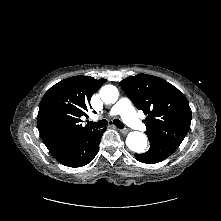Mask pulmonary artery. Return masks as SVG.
<instances>
[{"label": "pulmonary artery", "instance_id": "1", "mask_svg": "<svg viewBox=\"0 0 221 221\" xmlns=\"http://www.w3.org/2000/svg\"><path fill=\"white\" fill-rule=\"evenodd\" d=\"M108 115H120L125 123L136 130H142L145 125L137 116L131 101L127 98H121L110 110Z\"/></svg>", "mask_w": 221, "mask_h": 221}]
</instances>
